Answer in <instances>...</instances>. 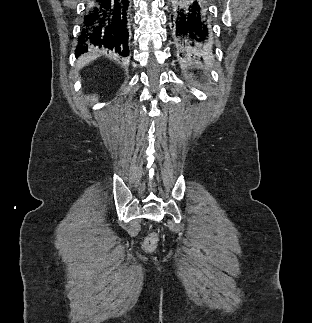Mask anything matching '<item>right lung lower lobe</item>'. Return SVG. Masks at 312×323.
<instances>
[{
	"mask_svg": "<svg viewBox=\"0 0 312 323\" xmlns=\"http://www.w3.org/2000/svg\"><path fill=\"white\" fill-rule=\"evenodd\" d=\"M85 6L76 55L95 46L107 48L118 56H128L131 30L129 0H89Z\"/></svg>",
	"mask_w": 312,
	"mask_h": 323,
	"instance_id": "obj_1",
	"label": "right lung lower lobe"
}]
</instances>
